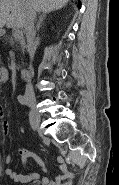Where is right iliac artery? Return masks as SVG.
<instances>
[{"label": "right iliac artery", "mask_w": 119, "mask_h": 185, "mask_svg": "<svg viewBox=\"0 0 119 185\" xmlns=\"http://www.w3.org/2000/svg\"><path fill=\"white\" fill-rule=\"evenodd\" d=\"M17 99H18V101H19L22 105H27V100H26V98H25L24 96L19 95V96L17 97ZM29 115L31 116V118L29 119V120H30V121H29V124H31L32 129L35 131V130H36V127H35L33 124H36V121H35L36 119L34 118V116H35L36 114L30 112Z\"/></svg>", "instance_id": "1"}]
</instances>
